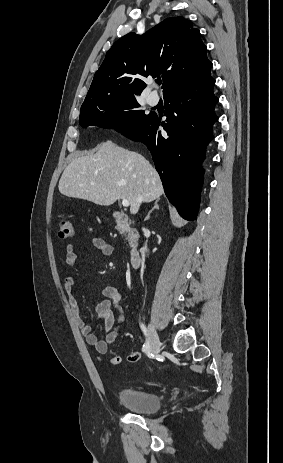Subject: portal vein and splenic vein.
I'll list each match as a JSON object with an SVG mask.
<instances>
[{"instance_id":"1","label":"portal vein and splenic vein","mask_w":283,"mask_h":463,"mask_svg":"<svg viewBox=\"0 0 283 463\" xmlns=\"http://www.w3.org/2000/svg\"><path fill=\"white\" fill-rule=\"evenodd\" d=\"M122 205H123L124 207H128V206L130 205V203H129V201H128L127 199H123V200H122Z\"/></svg>"}]
</instances>
